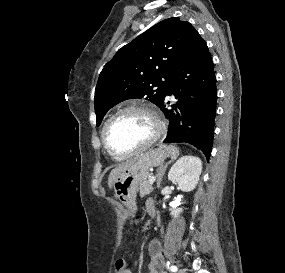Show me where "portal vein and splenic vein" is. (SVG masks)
Segmentation results:
<instances>
[{"label": "portal vein and splenic vein", "mask_w": 285, "mask_h": 273, "mask_svg": "<svg viewBox=\"0 0 285 273\" xmlns=\"http://www.w3.org/2000/svg\"><path fill=\"white\" fill-rule=\"evenodd\" d=\"M156 180V177L155 176H151L150 177V184L152 185Z\"/></svg>", "instance_id": "obj_1"}]
</instances>
